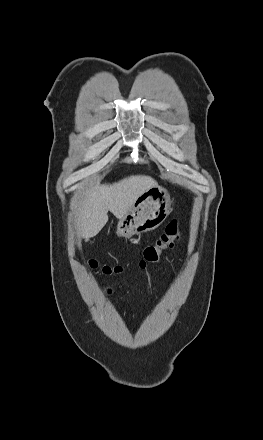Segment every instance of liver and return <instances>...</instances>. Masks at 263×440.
<instances>
[{
    "mask_svg": "<svg viewBox=\"0 0 263 440\" xmlns=\"http://www.w3.org/2000/svg\"><path fill=\"white\" fill-rule=\"evenodd\" d=\"M155 185L157 182L145 175H132L113 184L92 185L82 193L77 208L81 236H96L108 221V211L118 219L125 217L137 197Z\"/></svg>",
    "mask_w": 263,
    "mask_h": 440,
    "instance_id": "6515ba94",
    "label": "liver"
}]
</instances>
